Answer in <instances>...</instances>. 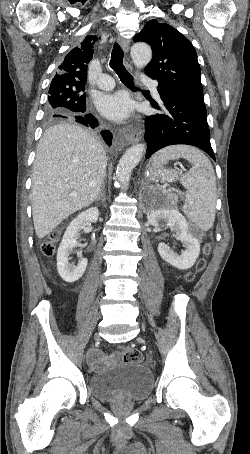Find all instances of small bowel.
<instances>
[{
    "label": "small bowel",
    "instance_id": "obj_1",
    "mask_svg": "<svg viewBox=\"0 0 250 454\" xmlns=\"http://www.w3.org/2000/svg\"><path fill=\"white\" fill-rule=\"evenodd\" d=\"M88 362L92 369L99 370L106 365V360L100 350L93 349L88 354Z\"/></svg>",
    "mask_w": 250,
    "mask_h": 454
}]
</instances>
